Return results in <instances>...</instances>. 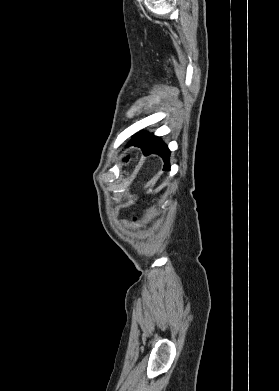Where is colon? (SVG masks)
<instances>
[{"mask_svg":"<svg viewBox=\"0 0 279 391\" xmlns=\"http://www.w3.org/2000/svg\"><path fill=\"white\" fill-rule=\"evenodd\" d=\"M134 221H138V218H137V217H135V218H134Z\"/></svg>","mask_w":279,"mask_h":391,"instance_id":"colon-1","label":"colon"}]
</instances>
